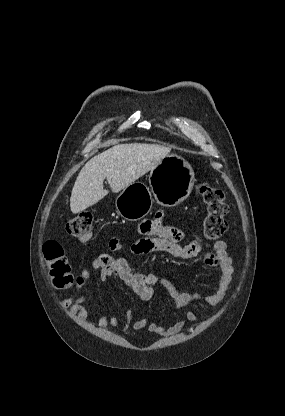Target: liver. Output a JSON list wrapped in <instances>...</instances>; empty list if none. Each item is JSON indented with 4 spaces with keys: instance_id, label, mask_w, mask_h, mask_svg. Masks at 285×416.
Here are the masks:
<instances>
[{
    "instance_id": "6515ba94",
    "label": "liver",
    "mask_w": 285,
    "mask_h": 416,
    "mask_svg": "<svg viewBox=\"0 0 285 416\" xmlns=\"http://www.w3.org/2000/svg\"><path fill=\"white\" fill-rule=\"evenodd\" d=\"M112 144L113 142H105L99 148ZM169 152L171 148L154 144H117L94 156L82 168L73 186L70 198L72 214L84 212L107 196L108 190L103 188L105 178L112 192L117 194L153 170Z\"/></svg>"
}]
</instances>
